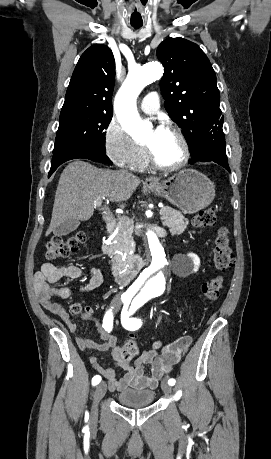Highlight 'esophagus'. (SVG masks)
Masks as SVG:
<instances>
[{
  "mask_svg": "<svg viewBox=\"0 0 271 459\" xmlns=\"http://www.w3.org/2000/svg\"><path fill=\"white\" fill-rule=\"evenodd\" d=\"M145 184H146V185H158V179L155 178V177H148V178L145 180Z\"/></svg>",
  "mask_w": 271,
  "mask_h": 459,
  "instance_id": "esophagus-1",
  "label": "esophagus"
}]
</instances>
